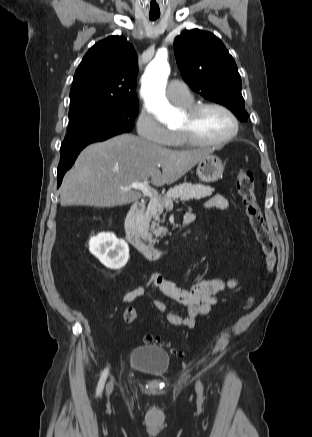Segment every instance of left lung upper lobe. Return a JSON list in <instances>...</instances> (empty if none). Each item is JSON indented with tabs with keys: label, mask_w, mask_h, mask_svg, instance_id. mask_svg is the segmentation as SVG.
Instances as JSON below:
<instances>
[{
	"label": "left lung upper lobe",
	"mask_w": 312,
	"mask_h": 437,
	"mask_svg": "<svg viewBox=\"0 0 312 437\" xmlns=\"http://www.w3.org/2000/svg\"><path fill=\"white\" fill-rule=\"evenodd\" d=\"M174 53L183 79L203 97L229 108L247 121L241 77L233 57L214 34L198 29L176 37Z\"/></svg>",
	"instance_id": "5c2ea615"
}]
</instances>
